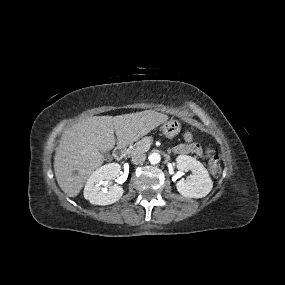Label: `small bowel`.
Wrapping results in <instances>:
<instances>
[{"instance_id": "c3829d8e", "label": "small bowel", "mask_w": 285, "mask_h": 285, "mask_svg": "<svg viewBox=\"0 0 285 285\" xmlns=\"http://www.w3.org/2000/svg\"><path fill=\"white\" fill-rule=\"evenodd\" d=\"M174 151L178 154H196L200 157H203V152L198 143L194 140L191 143H184L178 145L174 148Z\"/></svg>"}]
</instances>
